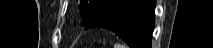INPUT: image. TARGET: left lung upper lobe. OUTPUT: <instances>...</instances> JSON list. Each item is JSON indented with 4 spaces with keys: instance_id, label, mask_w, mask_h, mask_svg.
<instances>
[{
    "instance_id": "obj_1",
    "label": "left lung upper lobe",
    "mask_w": 213,
    "mask_h": 48,
    "mask_svg": "<svg viewBox=\"0 0 213 48\" xmlns=\"http://www.w3.org/2000/svg\"><path fill=\"white\" fill-rule=\"evenodd\" d=\"M82 13V24H86L88 20L110 0H78Z\"/></svg>"
}]
</instances>
